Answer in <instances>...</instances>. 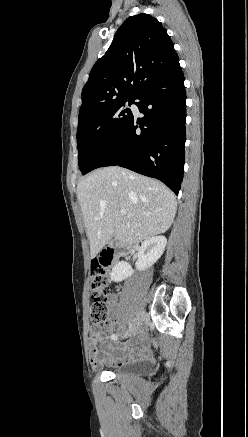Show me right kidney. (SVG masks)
Returning <instances> with one entry per match:
<instances>
[{"label": "right kidney", "mask_w": 248, "mask_h": 437, "mask_svg": "<svg viewBox=\"0 0 248 437\" xmlns=\"http://www.w3.org/2000/svg\"><path fill=\"white\" fill-rule=\"evenodd\" d=\"M167 240L164 236H154L146 239L139 248L136 269L144 271L150 268L162 256ZM134 273L132 267L124 261L119 262L112 269L110 277L112 281L120 282Z\"/></svg>", "instance_id": "1"}]
</instances>
